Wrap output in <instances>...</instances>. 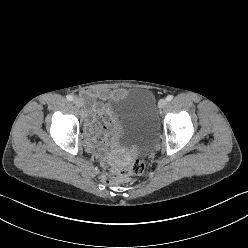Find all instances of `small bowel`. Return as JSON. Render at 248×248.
<instances>
[{"mask_svg": "<svg viewBox=\"0 0 248 248\" xmlns=\"http://www.w3.org/2000/svg\"><path fill=\"white\" fill-rule=\"evenodd\" d=\"M124 90L116 91H87L83 94L87 110L86 133L88 145L93 150H102L108 147L106 139L114 130L115 120L110 107L97 102L98 99L106 100L119 97Z\"/></svg>", "mask_w": 248, "mask_h": 248, "instance_id": "obj_1", "label": "small bowel"}]
</instances>
